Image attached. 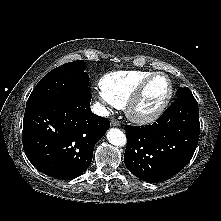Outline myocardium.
<instances>
[{"label": "myocardium", "instance_id": "f54148a6", "mask_svg": "<svg viewBox=\"0 0 221 221\" xmlns=\"http://www.w3.org/2000/svg\"><path fill=\"white\" fill-rule=\"evenodd\" d=\"M158 76H163L167 79L169 83V91L165 99L162 101V103L156 108L154 111L146 114H141L137 111V106L140 103L144 92L149 85V83L156 77ZM174 95V84L172 79L167 75L166 73L163 72H154L144 78L135 88L133 93L130 95L128 100L125 103V114L127 118L136 123V124H148L151 122H154L157 120L167 109L169 106V103Z\"/></svg>", "mask_w": 221, "mask_h": 221}]
</instances>
